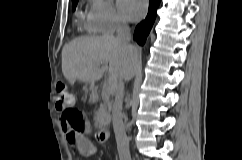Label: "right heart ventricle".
Wrapping results in <instances>:
<instances>
[{
	"instance_id": "e07e8e85",
	"label": "right heart ventricle",
	"mask_w": 242,
	"mask_h": 160,
	"mask_svg": "<svg viewBox=\"0 0 242 160\" xmlns=\"http://www.w3.org/2000/svg\"><path fill=\"white\" fill-rule=\"evenodd\" d=\"M80 24L86 26L90 31H92L91 18L89 13L82 12L79 14Z\"/></svg>"
}]
</instances>
